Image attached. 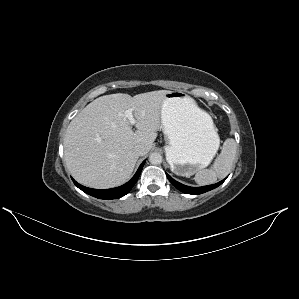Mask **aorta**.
Instances as JSON below:
<instances>
[{"instance_id": "obj_1", "label": "aorta", "mask_w": 299, "mask_h": 299, "mask_svg": "<svg viewBox=\"0 0 299 299\" xmlns=\"http://www.w3.org/2000/svg\"><path fill=\"white\" fill-rule=\"evenodd\" d=\"M149 161L153 165H159L162 163V156L160 153H152L149 157Z\"/></svg>"}]
</instances>
